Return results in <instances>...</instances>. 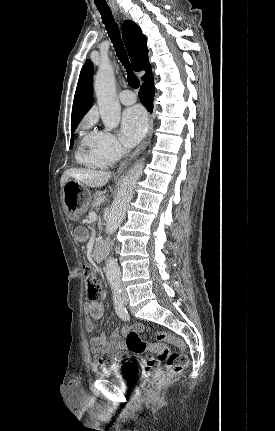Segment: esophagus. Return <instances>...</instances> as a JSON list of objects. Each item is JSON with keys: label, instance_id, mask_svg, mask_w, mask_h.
I'll return each mask as SVG.
<instances>
[{"label": "esophagus", "instance_id": "esophagus-1", "mask_svg": "<svg viewBox=\"0 0 275 431\" xmlns=\"http://www.w3.org/2000/svg\"><path fill=\"white\" fill-rule=\"evenodd\" d=\"M154 127V117L153 115L150 116V122H149V128L147 131V134L142 141V143L132 152V154L127 157L118 167L117 174L120 175L124 172V170L127 169V167L141 154V152L146 148V146L149 144L152 132Z\"/></svg>", "mask_w": 275, "mask_h": 431}]
</instances>
